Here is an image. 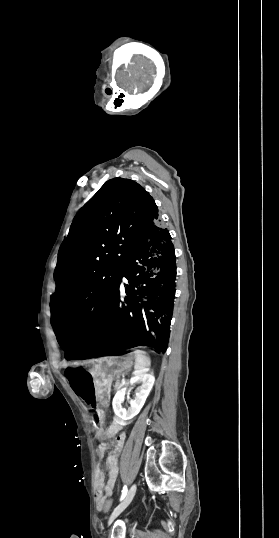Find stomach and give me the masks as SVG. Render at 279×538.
Instances as JSON below:
<instances>
[{
  "mask_svg": "<svg viewBox=\"0 0 279 538\" xmlns=\"http://www.w3.org/2000/svg\"><path fill=\"white\" fill-rule=\"evenodd\" d=\"M133 364L132 353H107L104 358H100L96 369L97 382L95 390L96 399L102 407H105L111 397L109 382H115L117 374H122L129 370Z\"/></svg>",
  "mask_w": 279,
  "mask_h": 538,
  "instance_id": "0dacf381",
  "label": "stomach"
}]
</instances>
